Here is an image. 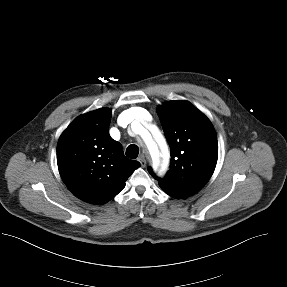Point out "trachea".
<instances>
[{
  "mask_svg": "<svg viewBox=\"0 0 287 287\" xmlns=\"http://www.w3.org/2000/svg\"><path fill=\"white\" fill-rule=\"evenodd\" d=\"M139 154V148L137 145L131 144L126 149V156L131 159H136Z\"/></svg>",
  "mask_w": 287,
  "mask_h": 287,
  "instance_id": "obj_1",
  "label": "trachea"
}]
</instances>
